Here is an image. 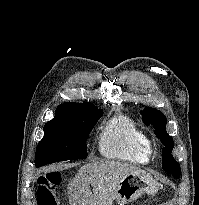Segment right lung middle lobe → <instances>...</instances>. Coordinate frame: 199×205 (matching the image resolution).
<instances>
[{
	"label": "right lung middle lobe",
	"mask_w": 199,
	"mask_h": 205,
	"mask_svg": "<svg viewBox=\"0 0 199 205\" xmlns=\"http://www.w3.org/2000/svg\"><path fill=\"white\" fill-rule=\"evenodd\" d=\"M102 114L93 104L57 108L55 117L44 126V137L36 148L35 166L86 158V139Z\"/></svg>",
	"instance_id": "obj_1"
}]
</instances>
